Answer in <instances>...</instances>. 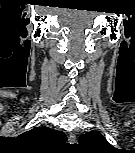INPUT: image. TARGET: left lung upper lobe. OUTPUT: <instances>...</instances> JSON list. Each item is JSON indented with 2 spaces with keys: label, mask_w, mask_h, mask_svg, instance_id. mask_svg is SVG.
Returning <instances> with one entry per match:
<instances>
[{
  "label": "left lung upper lobe",
  "mask_w": 135,
  "mask_h": 153,
  "mask_svg": "<svg viewBox=\"0 0 135 153\" xmlns=\"http://www.w3.org/2000/svg\"><path fill=\"white\" fill-rule=\"evenodd\" d=\"M79 144L96 153H106L110 150H114V147L99 132L95 131H90L81 135Z\"/></svg>",
  "instance_id": "1"
}]
</instances>
